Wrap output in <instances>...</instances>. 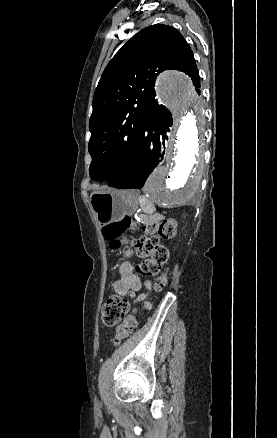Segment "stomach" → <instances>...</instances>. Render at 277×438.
Wrapping results in <instances>:
<instances>
[{"label": "stomach", "instance_id": "obj_1", "mask_svg": "<svg viewBox=\"0 0 277 438\" xmlns=\"http://www.w3.org/2000/svg\"><path fill=\"white\" fill-rule=\"evenodd\" d=\"M90 203L102 226L130 216L138 209V200L130 190L111 189L94 192L90 197Z\"/></svg>", "mask_w": 277, "mask_h": 438}]
</instances>
